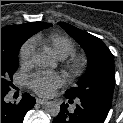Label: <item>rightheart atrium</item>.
I'll use <instances>...</instances> for the list:
<instances>
[{
	"label": "right heart atrium",
	"mask_w": 123,
	"mask_h": 123,
	"mask_svg": "<svg viewBox=\"0 0 123 123\" xmlns=\"http://www.w3.org/2000/svg\"><path fill=\"white\" fill-rule=\"evenodd\" d=\"M35 51V43L33 40L27 41L20 50V61L22 65L27 66L31 63L32 56Z\"/></svg>",
	"instance_id": "d8ad5b80"
}]
</instances>
